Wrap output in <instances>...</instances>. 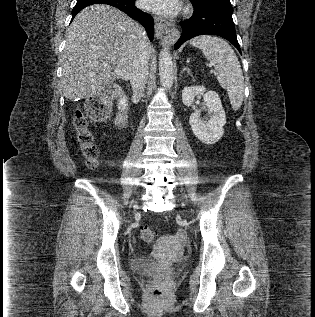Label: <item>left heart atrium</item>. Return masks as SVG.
I'll use <instances>...</instances> for the list:
<instances>
[{
  "label": "left heart atrium",
  "mask_w": 315,
  "mask_h": 317,
  "mask_svg": "<svg viewBox=\"0 0 315 317\" xmlns=\"http://www.w3.org/2000/svg\"><path fill=\"white\" fill-rule=\"evenodd\" d=\"M141 7L160 15H170L177 11V0H139Z\"/></svg>",
  "instance_id": "1"
}]
</instances>
